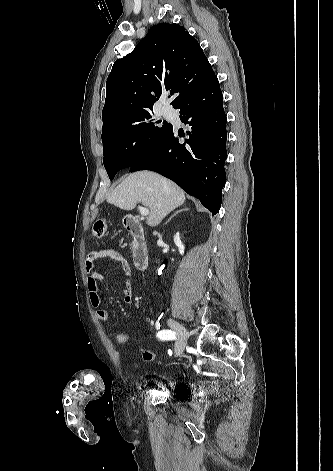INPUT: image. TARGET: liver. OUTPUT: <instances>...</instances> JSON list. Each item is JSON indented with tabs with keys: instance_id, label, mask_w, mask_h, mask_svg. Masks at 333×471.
<instances>
[{
	"instance_id": "1",
	"label": "liver",
	"mask_w": 333,
	"mask_h": 471,
	"mask_svg": "<svg viewBox=\"0 0 333 471\" xmlns=\"http://www.w3.org/2000/svg\"><path fill=\"white\" fill-rule=\"evenodd\" d=\"M185 192L174 182L151 171H139L126 177L107 196V202L123 210H133L137 203L150 209L147 225L155 227L185 202Z\"/></svg>"
}]
</instances>
